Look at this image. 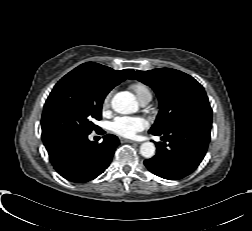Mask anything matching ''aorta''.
Returning <instances> with one entry per match:
<instances>
[{
  "mask_svg": "<svg viewBox=\"0 0 252 231\" xmlns=\"http://www.w3.org/2000/svg\"><path fill=\"white\" fill-rule=\"evenodd\" d=\"M114 111L120 114H130L137 111L138 105L133 94L129 92H119L111 100ZM155 145L152 142H144L140 146V154L150 159L155 155Z\"/></svg>",
  "mask_w": 252,
  "mask_h": 231,
  "instance_id": "aorta-1",
  "label": "aorta"
}]
</instances>
